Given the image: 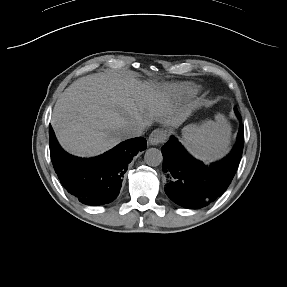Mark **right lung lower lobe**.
I'll use <instances>...</instances> for the list:
<instances>
[{"label":"right lung lower lobe","mask_w":287,"mask_h":287,"mask_svg":"<svg viewBox=\"0 0 287 287\" xmlns=\"http://www.w3.org/2000/svg\"><path fill=\"white\" fill-rule=\"evenodd\" d=\"M51 160L66 190L87 205L108 204L122 186L131 158L146 148V139L137 137L122 142L103 155L82 159L66 153L58 144L50 126Z\"/></svg>","instance_id":"right-lung-lower-lobe-1"}]
</instances>
